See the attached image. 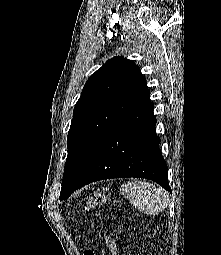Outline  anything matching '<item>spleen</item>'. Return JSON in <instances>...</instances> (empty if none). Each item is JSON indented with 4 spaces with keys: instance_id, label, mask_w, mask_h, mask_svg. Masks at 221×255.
<instances>
[{
    "instance_id": "obj_1",
    "label": "spleen",
    "mask_w": 221,
    "mask_h": 255,
    "mask_svg": "<svg viewBox=\"0 0 221 255\" xmlns=\"http://www.w3.org/2000/svg\"><path fill=\"white\" fill-rule=\"evenodd\" d=\"M121 191L135 208L148 215L161 212L169 201L166 192L149 182H127L121 186Z\"/></svg>"
}]
</instances>
